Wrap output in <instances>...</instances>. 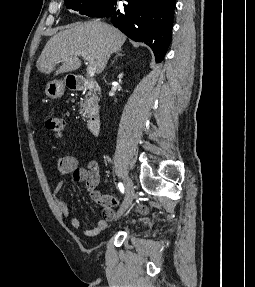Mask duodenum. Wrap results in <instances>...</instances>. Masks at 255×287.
I'll list each match as a JSON object with an SVG mask.
<instances>
[{
    "label": "duodenum",
    "instance_id": "duodenum-1",
    "mask_svg": "<svg viewBox=\"0 0 255 287\" xmlns=\"http://www.w3.org/2000/svg\"><path fill=\"white\" fill-rule=\"evenodd\" d=\"M68 87L73 90L81 91V90H92V91H97L98 90V85L90 80L87 79H73L68 83ZM100 125H101V119L98 114H93L87 122V126L89 131L93 135H97L100 130Z\"/></svg>",
    "mask_w": 255,
    "mask_h": 287
}]
</instances>
